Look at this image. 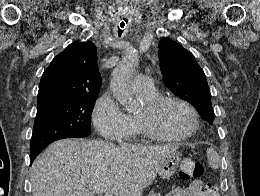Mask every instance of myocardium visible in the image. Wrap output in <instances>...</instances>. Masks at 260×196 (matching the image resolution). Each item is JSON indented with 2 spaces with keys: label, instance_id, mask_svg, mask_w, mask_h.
<instances>
[{
  "label": "myocardium",
  "instance_id": "1",
  "mask_svg": "<svg viewBox=\"0 0 260 196\" xmlns=\"http://www.w3.org/2000/svg\"><path fill=\"white\" fill-rule=\"evenodd\" d=\"M170 103H178L185 106L193 115L194 125L190 131L181 136H171L162 133L161 131L155 129L148 119H146L142 115L136 114L137 123L140 129L149 137L157 140V141H167L174 143H184L189 141L192 136L199 130L200 128V116L196 108L187 102L186 100L177 97V96H160L155 98L152 101H149L144 104L145 113L154 116L161 109H163L166 105ZM96 192H101L100 190H96Z\"/></svg>",
  "mask_w": 260,
  "mask_h": 196
}]
</instances>
